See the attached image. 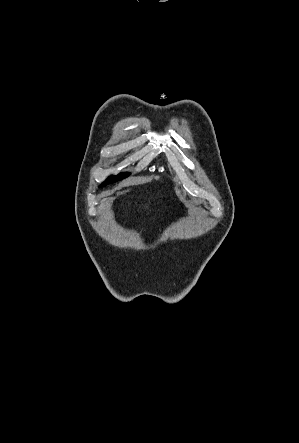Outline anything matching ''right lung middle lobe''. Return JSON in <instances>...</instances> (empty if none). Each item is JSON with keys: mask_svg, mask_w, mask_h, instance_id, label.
<instances>
[{"mask_svg": "<svg viewBox=\"0 0 299 443\" xmlns=\"http://www.w3.org/2000/svg\"><path fill=\"white\" fill-rule=\"evenodd\" d=\"M129 176L128 173H120L117 176L110 177L106 182H104L101 186H105L106 184L116 182L118 180H122L123 178Z\"/></svg>", "mask_w": 299, "mask_h": 443, "instance_id": "dd1d6c3e", "label": "right lung middle lobe"}]
</instances>
